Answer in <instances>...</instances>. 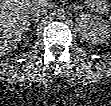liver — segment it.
Returning <instances> with one entry per match:
<instances>
[{"instance_id":"6515ba94","label":"liver","mask_w":111,"mask_h":106,"mask_svg":"<svg viewBox=\"0 0 111 106\" xmlns=\"http://www.w3.org/2000/svg\"><path fill=\"white\" fill-rule=\"evenodd\" d=\"M30 0L0 1V54L6 55L17 47L25 30Z\"/></svg>"}]
</instances>
